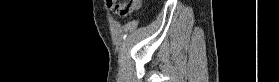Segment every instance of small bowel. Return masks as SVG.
Masks as SVG:
<instances>
[{
	"instance_id": "obj_1",
	"label": "small bowel",
	"mask_w": 279,
	"mask_h": 82,
	"mask_svg": "<svg viewBox=\"0 0 279 82\" xmlns=\"http://www.w3.org/2000/svg\"><path fill=\"white\" fill-rule=\"evenodd\" d=\"M107 6L110 8L112 13L117 16V17H127L131 15L132 13L136 12L140 6H133V5H126V4H115L112 3L111 1H107Z\"/></svg>"
}]
</instances>
